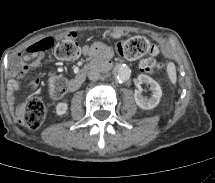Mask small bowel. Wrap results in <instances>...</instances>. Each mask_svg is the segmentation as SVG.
I'll return each mask as SVG.
<instances>
[{
    "label": "small bowel",
    "instance_id": "1",
    "mask_svg": "<svg viewBox=\"0 0 215 183\" xmlns=\"http://www.w3.org/2000/svg\"><path fill=\"white\" fill-rule=\"evenodd\" d=\"M69 36L74 37L75 33H71ZM43 40H51L54 43V40L50 37L44 38L32 45H30L24 54L20 56L18 61L13 67V79L9 81L8 84V99L10 102H14V92L23 87L22 78L26 76L30 70L43 63L46 60L45 52L48 50L38 51L34 50V46ZM51 49V48H50ZM83 52L88 57H95L100 53H107L108 48L101 43H94L92 45L85 46ZM38 84V81H32L29 83V86L34 87Z\"/></svg>",
    "mask_w": 215,
    "mask_h": 183
}]
</instances>
